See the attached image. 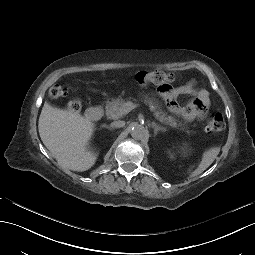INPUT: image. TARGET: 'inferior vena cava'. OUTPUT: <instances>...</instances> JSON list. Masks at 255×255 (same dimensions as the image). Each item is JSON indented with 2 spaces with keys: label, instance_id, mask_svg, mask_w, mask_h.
<instances>
[{
  "label": "inferior vena cava",
  "instance_id": "inferior-vena-cava-1",
  "mask_svg": "<svg viewBox=\"0 0 255 255\" xmlns=\"http://www.w3.org/2000/svg\"><path fill=\"white\" fill-rule=\"evenodd\" d=\"M112 128H123L125 126L124 121H114L110 125Z\"/></svg>",
  "mask_w": 255,
  "mask_h": 255
}]
</instances>
